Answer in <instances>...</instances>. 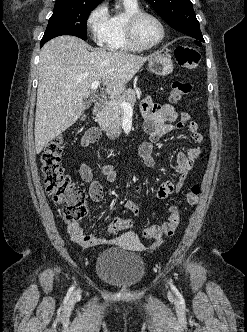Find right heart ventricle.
Returning a JSON list of instances; mask_svg holds the SVG:
<instances>
[{
	"mask_svg": "<svg viewBox=\"0 0 247 332\" xmlns=\"http://www.w3.org/2000/svg\"><path fill=\"white\" fill-rule=\"evenodd\" d=\"M124 9L109 15L107 29L103 40L105 48L114 51H137L128 41L126 35V22L128 17L141 10L137 1L123 0Z\"/></svg>",
	"mask_w": 247,
	"mask_h": 332,
	"instance_id": "1",
	"label": "right heart ventricle"
}]
</instances>
